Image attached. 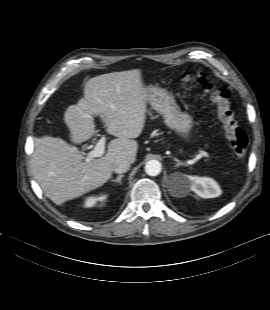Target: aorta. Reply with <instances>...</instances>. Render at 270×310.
Here are the masks:
<instances>
[{
    "mask_svg": "<svg viewBox=\"0 0 270 310\" xmlns=\"http://www.w3.org/2000/svg\"><path fill=\"white\" fill-rule=\"evenodd\" d=\"M145 172L149 176H157L161 172V163L157 160H150L145 165Z\"/></svg>",
    "mask_w": 270,
    "mask_h": 310,
    "instance_id": "762f6f07",
    "label": "aorta"
}]
</instances>
